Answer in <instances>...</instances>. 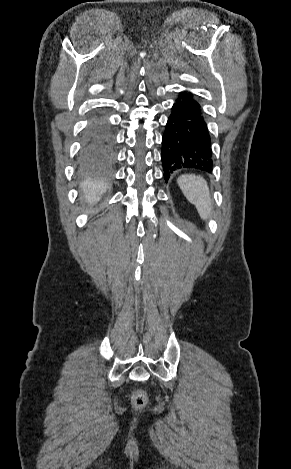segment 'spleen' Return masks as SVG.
<instances>
[{"label": "spleen", "instance_id": "3e777b00", "mask_svg": "<svg viewBox=\"0 0 291 469\" xmlns=\"http://www.w3.org/2000/svg\"><path fill=\"white\" fill-rule=\"evenodd\" d=\"M177 183L187 200L194 204L200 217L208 220L212 214V200L205 179L194 174L181 175Z\"/></svg>", "mask_w": 291, "mask_h": 469}]
</instances>
